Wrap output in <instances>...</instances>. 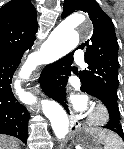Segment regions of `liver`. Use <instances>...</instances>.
<instances>
[{"label":"liver","mask_w":124,"mask_h":149,"mask_svg":"<svg viewBox=\"0 0 124 149\" xmlns=\"http://www.w3.org/2000/svg\"><path fill=\"white\" fill-rule=\"evenodd\" d=\"M0 149H20V147L15 139L0 135Z\"/></svg>","instance_id":"1"}]
</instances>
